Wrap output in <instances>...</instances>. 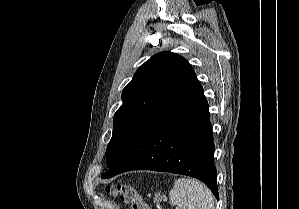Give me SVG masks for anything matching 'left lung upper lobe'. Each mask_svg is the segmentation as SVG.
<instances>
[{
    "label": "left lung upper lobe",
    "mask_w": 299,
    "mask_h": 209,
    "mask_svg": "<svg viewBox=\"0 0 299 209\" xmlns=\"http://www.w3.org/2000/svg\"><path fill=\"white\" fill-rule=\"evenodd\" d=\"M195 78L188 61L169 51L152 56L140 66L123 89V104L114 115L106 150L109 169L150 117Z\"/></svg>",
    "instance_id": "5c2ea615"
}]
</instances>
